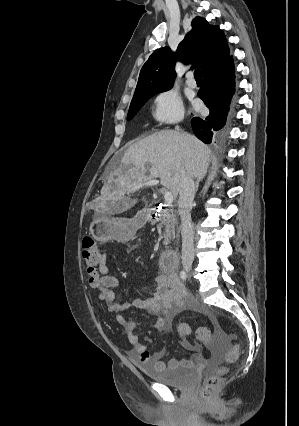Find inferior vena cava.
Returning a JSON list of instances; mask_svg holds the SVG:
<instances>
[{
  "instance_id": "inferior-vena-cava-1",
  "label": "inferior vena cava",
  "mask_w": 299,
  "mask_h": 426,
  "mask_svg": "<svg viewBox=\"0 0 299 426\" xmlns=\"http://www.w3.org/2000/svg\"><path fill=\"white\" fill-rule=\"evenodd\" d=\"M195 196V184L193 176L182 170V179L179 191V216L181 219L182 236V264L191 267L194 260V230L191 220V209Z\"/></svg>"
}]
</instances>
